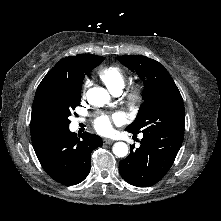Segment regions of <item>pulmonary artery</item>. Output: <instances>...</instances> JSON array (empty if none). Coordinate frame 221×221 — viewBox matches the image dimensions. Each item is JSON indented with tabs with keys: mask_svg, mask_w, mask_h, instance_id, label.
<instances>
[{
	"mask_svg": "<svg viewBox=\"0 0 221 221\" xmlns=\"http://www.w3.org/2000/svg\"><path fill=\"white\" fill-rule=\"evenodd\" d=\"M120 93H121V91H116V92H114L113 94H114L115 96H118V95H120Z\"/></svg>",
	"mask_w": 221,
	"mask_h": 221,
	"instance_id": "pulmonary-artery-1",
	"label": "pulmonary artery"
}]
</instances>
